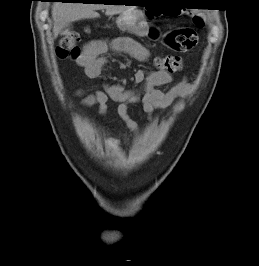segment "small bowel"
<instances>
[{
  "label": "small bowel",
  "instance_id": "c3829d8e",
  "mask_svg": "<svg viewBox=\"0 0 259 266\" xmlns=\"http://www.w3.org/2000/svg\"><path fill=\"white\" fill-rule=\"evenodd\" d=\"M108 50L125 52L139 61H145L150 53L146 47L131 38H117L112 41L95 39L87 43L78 58V64L84 68L89 78L99 77L107 63L106 53ZM172 75L168 72H145L138 70L134 75V82L141 84L138 89H127L117 84H105V91H98L84 97L83 103L87 106L97 105L100 114L105 115L108 111V101L117 103V113L133 134L138 133L139 126L128 112L129 105L139 104L152 118L154 110L170 106L176 99L190 93L191 84L183 79L163 91L159 87L169 84Z\"/></svg>",
  "mask_w": 259,
  "mask_h": 266
}]
</instances>
